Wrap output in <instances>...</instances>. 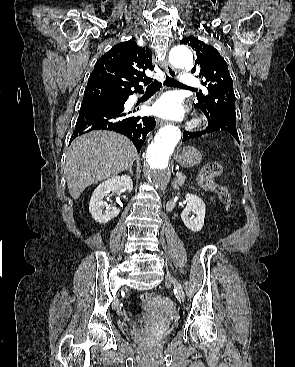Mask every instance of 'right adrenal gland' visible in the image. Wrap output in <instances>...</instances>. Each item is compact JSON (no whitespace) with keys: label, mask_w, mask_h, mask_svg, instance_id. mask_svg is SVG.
<instances>
[{"label":"right adrenal gland","mask_w":295,"mask_h":367,"mask_svg":"<svg viewBox=\"0 0 295 367\" xmlns=\"http://www.w3.org/2000/svg\"><path fill=\"white\" fill-rule=\"evenodd\" d=\"M127 171L130 172L131 175H133V169H132V166H130L129 168L126 169Z\"/></svg>","instance_id":"right-adrenal-gland-1"}]
</instances>
